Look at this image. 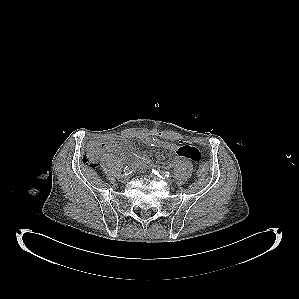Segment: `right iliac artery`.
Here are the masks:
<instances>
[{"mask_svg": "<svg viewBox=\"0 0 299 299\" xmlns=\"http://www.w3.org/2000/svg\"><path fill=\"white\" fill-rule=\"evenodd\" d=\"M137 166H138V165H136V164H129V165H127V166L125 167V169H124V173H125L126 175L131 174L133 171H135V169L137 168Z\"/></svg>", "mask_w": 299, "mask_h": 299, "instance_id": "82829eb1", "label": "right iliac artery"}]
</instances>
